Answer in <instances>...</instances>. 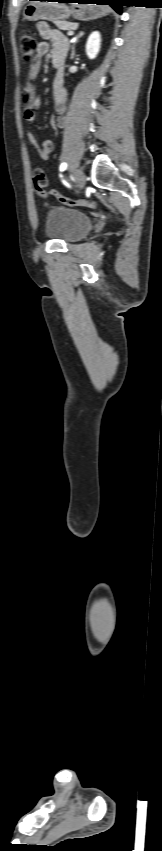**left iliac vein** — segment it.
I'll use <instances>...</instances> for the list:
<instances>
[{
    "mask_svg": "<svg viewBox=\"0 0 162 851\" xmlns=\"http://www.w3.org/2000/svg\"><path fill=\"white\" fill-rule=\"evenodd\" d=\"M74 176H75L77 187L79 189H82L85 185V174H84V172L81 169H76Z\"/></svg>",
    "mask_w": 162,
    "mask_h": 851,
    "instance_id": "4c4485c4",
    "label": "left iliac vein"
}]
</instances>
